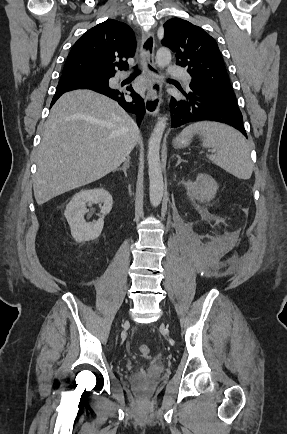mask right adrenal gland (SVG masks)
Returning <instances> with one entry per match:
<instances>
[{
  "instance_id": "2a0ac1e0",
  "label": "right adrenal gland",
  "mask_w": 287,
  "mask_h": 434,
  "mask_svg": "<svg viewBox=\"0 0 287 434\" xmlns=\"http://www.w3.org/2000/svg\"><path fill=\"white\" fill-rule=\"evenodd\" d=\"M130 166V157L127 156V158L124 160L123 166L121 168H117L116 171H123L125 177H127V169Z\"/></svg>"
}]
</instances>
